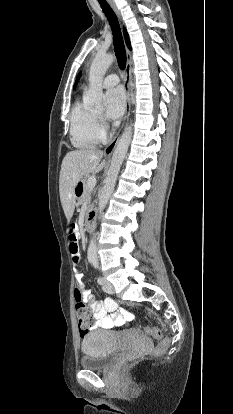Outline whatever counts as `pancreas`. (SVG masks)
<instances>
[{
    "label": "pancreas",
    "mask_w": 233,
    "mask_h": 414,
    "mask_svg": "<svg viewBox=\"0 0 233 414\" xmlns=\"http://www.w3.org/2000/svg\"><path fill=\"white\" fill-rule=\"evenodd\" d=\"M92 191H93V188L88 186L87 180H84L83 195L80 197L79 203L83 205L85 202H87L89 207H91L92 205L90 204V201H91Z\"/></svg>",
    "instance_id": "1"
}]
</instances>
